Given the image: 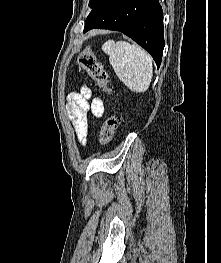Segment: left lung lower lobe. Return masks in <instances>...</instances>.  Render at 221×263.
<instances>
[{"label": "left lung lower lobe", "instance_id": "0a47b994", "mask_svg": "<svg viewBox=\"0 0 221 263\" xmlns=\"http://www.w3.org/2000/svg\"><path fill=\"white\" fill-rule=\"evenodd\" d=\"M94 28L124 33L160 66L165 43L163 11L158 0H102L88 15L84 32Z\"/></svg>", "mask_w": 221, "mask_h": 263}]
</instances>
